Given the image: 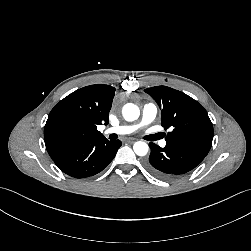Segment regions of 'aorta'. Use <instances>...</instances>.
<instances>
[{"label":"aorta","instance_id":"aorta-1","mask_svg":"<svg viewBox=\"0 0 251 251\" xmlns=\"http://www.w3.org/2000/svg\"><path fill=\"white\" fill-rule=\"evenodd\" d=\"M139 108L132 103H127L123 106L122 115L126 121L132 122L139 117ZM133 150L138 156H145L148 153L149 146L143 141H137L133 145Z\"/></svg>","mask_w":251,"mask_h":251}]
</instances>
